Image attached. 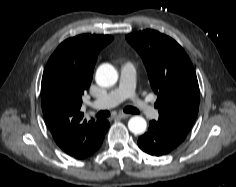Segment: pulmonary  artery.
<instances>
[{
    "mask_svg": "<svg viewBox=\"0 0 236 187\" xmlns=\"http://www.w3.org/2000/svg\"><path fill=\"white\" fill-rule=\"evenodd\" d=\"M136 76V69L132 63L127 62L123 64L118 87L110 91L104 97L92 101V107L98 109L110 108L130 98L137 110L147 118H154L157 115V110L149 102L138 97L135 93Z\"/></svg>",
    "mask_w": 236,
    "mask_h": 187,
    "instance_id": "e3ab8cb5",
    "label": "pulmonary artery"
}]
</instances>
